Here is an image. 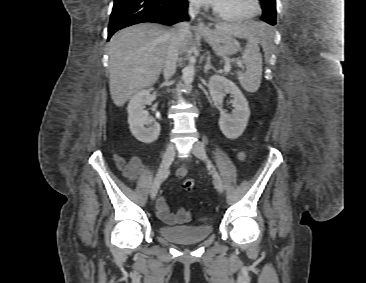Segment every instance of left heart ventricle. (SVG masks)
Instances as JSON below:
<instances>
[{
  "label": "left heart ventricle",
  "instance_id": "b2bd125f",
  "mask_svg": "<svg viewBox=\"0 0 366 283\" xmlns=\"http://www.w3.org/2000/svg\"><path fill=\"white\" fill-rule=\"evenodd\" d=\"M214 5L221 12L231 15L247 14L253 8L252 0H218Z\"/></svg>",
  "mask_w": 366,
  "mask_h": 283
}]
</instances>
